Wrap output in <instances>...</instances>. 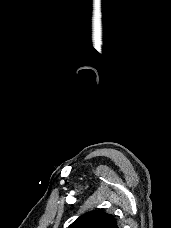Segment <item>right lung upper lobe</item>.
<instances>
[{
  "mask_svg": "<svg viewBox=\"0 0 171 228\" xmlns=\"http://www.w3.org/2000/svg\"><path fill=\"white\" fill-rule=\"evenodd\" d=\"M69 228H118L115 218L102 210L80 216Z\"/></svg>",
  "mask_w": 171,
  "mask_h": 228,
  "instance_id": "1",
  "label": "right lung upper lobe"
}]
</instances>
